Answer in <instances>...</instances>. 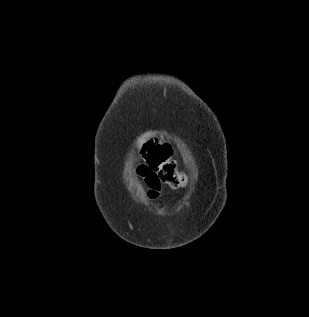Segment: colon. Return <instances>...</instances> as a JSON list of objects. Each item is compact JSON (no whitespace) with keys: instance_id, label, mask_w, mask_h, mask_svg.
I'll return each instance as SVG.
<instances>
[{"instance_id":"5ec220e1","label":"colon","mask_w":309,"mask_h":317,"mask_svg":"<svg viewBox=\"0 0 309 317\" xmlns=\"http://www.w3.org/2000/svg\"><path fill=\"white\" fill-rule=\"evenodd\" d=\"M147 166L151 171V183L164 182L173 188L186 184V176L171 159V149L167 144L151 146L146 154Z\"/></svg>"}]
</instances>
